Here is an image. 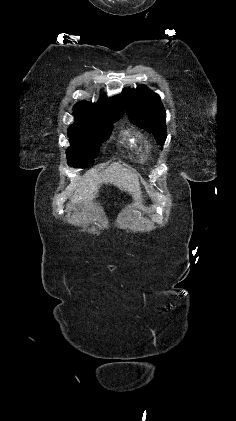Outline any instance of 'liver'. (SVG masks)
I'll return each mask as SVG.
<instances>
[{
	"mask_svg": "<svg viewBox=\"0 0 236 421\" xmlns=\"http://www.w3.org/2000/svg\"><path fill=\"white\" fill-rule=\"evenodd\" d=\"M115 184L120 190H126L132 194L136 200H140L142 194L138 174L134 168H125L119 162H112L103 172L99 168H90L79 180L75 192L71 196V202H81V200H93L100 184Z\"/></svg>",
	"mask_w": 236,
	"mask_h": 421,
	"instance_id": "1",
	"label": "liver"
}]
</instances>
